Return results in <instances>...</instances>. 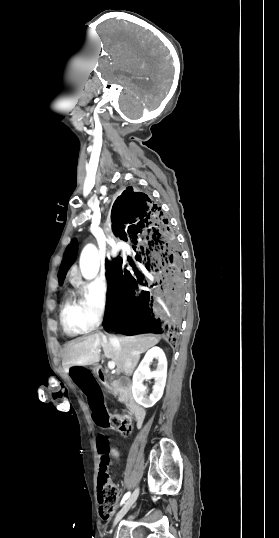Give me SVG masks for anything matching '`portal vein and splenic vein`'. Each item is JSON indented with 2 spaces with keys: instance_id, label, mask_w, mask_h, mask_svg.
Masks as SVG:
<instances>
[{
  "instance_id": "1",
  "label": "portal vein and splenic vein",
  "mask_w": 279,
  "mask_h": 538,
  "mask_svg": "<svg viewBox=\"0 0 279 538\" xmlns=\"http://www.w3.org/2000/svg\"><path fill=\"white\" fill-rule=\"evenodd\" d=\"M108 368H109V370H114L115 362H108Z\"/></svg>"
}]
</instances>
